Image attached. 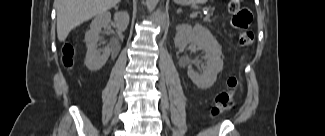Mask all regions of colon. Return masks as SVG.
<instances>
[{
	"label": "colon",
	"mask_w": 325,
	"mask_h": 136,
	"mask_svg": "<svg viewBox=\"0 0 325 136\" xmlns=\"http://www.w3.org/2000/svg\"><path fill=\"white\" fill-rule=\"evenodd\" d=\"M242 0H230L229 12L233 15L231 23L237 29V37L240 46L249 48L254 43V34L249 28L252 14L246 8L241 7ZM74 50L71 46H66L63 51V63L70 67L73 64ZM229 90L220 93L216 97L215 105L212 108V116L219 117L227 112L234 104V96L241 90L242 84L237 77L228 80Z\"/></svg>",
	"instance_id": "5ec220e1"
}]
</instances>
